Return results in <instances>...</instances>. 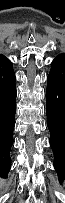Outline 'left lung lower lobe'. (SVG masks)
I'll return each instance as SVG.
<instances>
[{
  "mask_svg": "<svg viewBox=\"0 0 65 203\" xmlns=\"http://www.w3.org/2000/svg\"><path fill=\"white\" fill-rule=\"evenodd\" d=\"M47 126L50 146L54 153V167L59 181L65 179V54L51 63L46 91Z\"/></svg>",
  "mask_w": 65,
  "mask_h": 203,
  "instance_id": "1",
  "label": "left lung lower lobe"
}]
</instances>
